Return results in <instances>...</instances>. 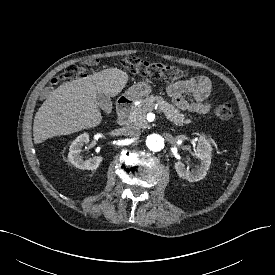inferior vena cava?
Returning <instances> with one entry per match:
<instances>
[{"label": "inferior vena cava", "instance_id": "602c4592", "mask_svg": "<svg viewBox=\"0 0 275 275\" xmlns=\"http://www.w3.org/2000/svg\"><path fill=\"white\" fill-rule=\"evenodd\" d=\"M140 128L136 125H128L124 128L125 135L135 138L140 135Z\"/></svg>", "mask_w": 275, "mask_h": 275}]
</instances>
